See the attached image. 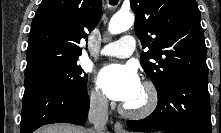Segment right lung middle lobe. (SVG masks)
Segmentation results:
<instances>
[{"label": "right lung middle lobe", "instance_id": "right-lung-middle-lobe-1", "mask_svg": "<svg viewBox=\"0 0 221 133\" xmlns=\"http://www.w3.org/2000/svg\"><path fill=\"white\" fill-rule=\"evenodd\" d=\"M83 69L75 63L58 64L44 67L31 75L54 79L72 89H82L87 84V75H82Z\"/></svg>", "mask_w": 221, "mask_h": 133}]
</instances>
